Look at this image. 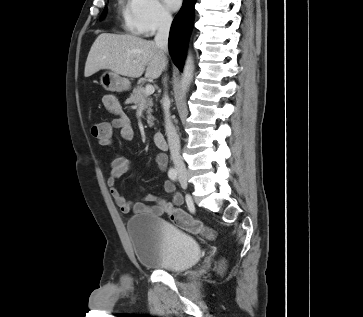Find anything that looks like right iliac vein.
Here are the masks:
<instances>
[{"label":"right iliac vein","instance_id":"right-iliac-vein-1","mask_svg":"<svg viewBox=\"0 0 363 317\" xmlns=\"http://www.w3.org/2000/svg\"><path fill=\"white\" fill-rule=\"evenodd\" d=\"M182 179L186 180L187 176L186 175H182Z\"/></svg>","mask_w":363,"mask_h":317}]
</instances>
